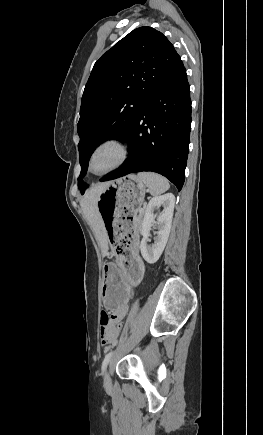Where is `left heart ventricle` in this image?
<instances>
[{"mask_svg": "<svg viewBox=\"0 0 263 435\" xmlns=\"http://www.w3.org/2000/svg\"><path fill=\"white\" fill-rule=\"evenodd\" d=\"M119 159V151L113 146L101 148L92 160V170L96 173L103 172L113 166Z\"/></svg>", "mask_w": 263, "mask_h": 435, "instance_id": "obj_1", "label": "left heart ventricle"}]
</instances>
